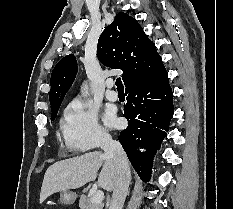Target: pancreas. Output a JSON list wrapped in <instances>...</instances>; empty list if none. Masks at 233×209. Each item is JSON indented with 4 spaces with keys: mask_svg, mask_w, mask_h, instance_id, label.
<instances>
[{
    "mask_svg": "<svg viewBox=\"0 0 233 209\" xmlns=\"http://www.w3.org/2000/svg\"><path fill=\"white\" fill-rule=\"evenodd\" d=\"M80 209H103L102 203H92L91 198L86 195H81L79 200Z\"/></svg>",
    "mask_w": 233,
    "mask_h": 209,
    "instance_id": "pancreas-1",
    "label": "pancreas"
}]
</instances>
